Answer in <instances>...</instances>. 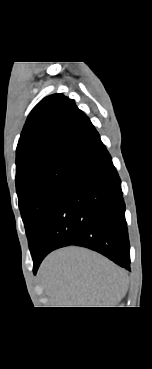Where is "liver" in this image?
<instances>
[{
  "instance_id": "liver-1",
  "label": "liver",
  "mask_w": 152,
  "mask_h": 369,
  "mask_svg": "<svg viewBox=\"0 0 152 369\" xmlns=\"http://www.w3.org/2000/svg\"><path fill=\"white\" fill-rule=\"evenodd\" d=\"M39 277L54 307H113L128 290L127 272L102 255L80 247L51 253Z\"/></svg>"
}]
</instances>
